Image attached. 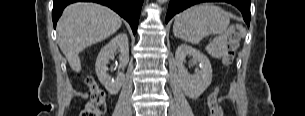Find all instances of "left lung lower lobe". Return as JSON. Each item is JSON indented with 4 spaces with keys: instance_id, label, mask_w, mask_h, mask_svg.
Masks as SVG:
<instances>
[{
    "instance_id": "left-lung-lower-lobe-1",
    "label": "left lung lower lobe",
    "mask_w": 305,
    "mask_h": 116,
    "mask_svg": "<svg viewBox=\"0 0 305 116\" xmlns=\"http://www.w3.org/2000/svg\"><path fill=\"white\" fill-rule=\"evenodd\" d=\"M228 2L236 6L243 14L247 25L250 23V0H171L166 15V23L177 13L184 9L201 2Z\"/></svg>"
}]
</instances>
